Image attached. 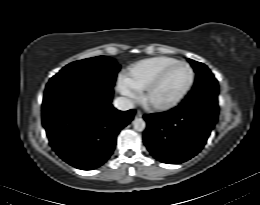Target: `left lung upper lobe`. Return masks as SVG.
Returning <instances> with one entry per match:
<instances>
[{"mask_svg":"<svg viewBox=\"0 0 260 205\" xmlns=\"http://www.w3.org/2000/svg\"><path fill=\"white\" fill-rule=\"evenodd\" d=\"M188 61L197 75L194 87L184 102H203L218 108V82L214 75L206 65L191 59H188Z\"/></svg>","mask_w":260,"mask_h":205,"instance_id":"left-lung-upper-lobe-1","label":"left lung upper lobe"}]
</instances>
